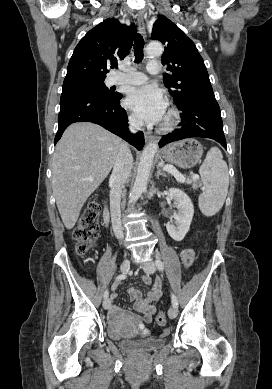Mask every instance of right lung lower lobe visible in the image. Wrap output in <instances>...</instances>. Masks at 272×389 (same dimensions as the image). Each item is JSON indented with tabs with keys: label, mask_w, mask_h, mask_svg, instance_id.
Segmentation results:
<instances>
[{
	"label": "right lung lower lobe",
	"mask_w": 272,
	"mask_h": 389,
	"mask_svg": "<svg viewBox=\"0 0 272 389\" xmlns=\"http://www.w3.org/2000/svg\"><path fill=\"white\" fill-rule=\"evenodd\" d=\"M121 98L122 94L111 99L90 92H62L54 143L58 142L68 125L87 121L101 125L141 150L145 143L144 135L142 132L131 134L128 131L127 114L120 106Z\"/></svg>",
	"instance_id": "98d812e1"
}]
</instances>
